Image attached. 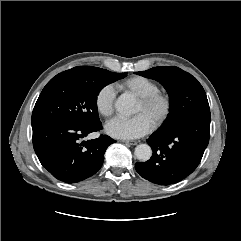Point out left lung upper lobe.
I'll return each instance as SVG.
<instances>
[{
  "mask_svg": "<svg viewBox=\"0 0 241 241\" xmlns=\"http://www.w3.org/2000/svg\"><path fill=\"white\" fill-rule=\"evenodd\" d=\"M135 73L157 80L169 94L170 112L160 130L175 129L190 120L210 116L206 93L191 74L178 67L169 66L154 67Z\"/></svg>",
  "mask_w": 241,
  "mask_h": 241,
  "instance_id": "5c2ea615",
  "label": "left lung upper lobe"
}]
</instances>
